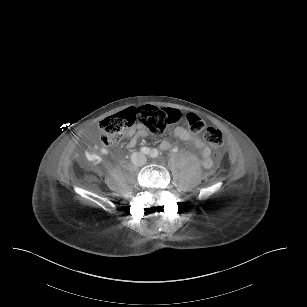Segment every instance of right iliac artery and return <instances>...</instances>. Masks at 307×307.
Listing matches in <instances>:
<instances>
[{"mask_svg":"<svg viewBox=\"0 0 307 307\" xmlns=\"http://www.w3.org/2000/svg\"><path fill=\"white\" fill-rule=\"evenodd\" d=\"M140 151H141L143 154H145V155H148V154H150V152H151L150 148H148V147H142V148L140 149Z\"/></svg>","mask_w":307,"mask_h":307,"instance_id":"right-iliac-artery-1","label":"right iliac artery"}]
</instances>
